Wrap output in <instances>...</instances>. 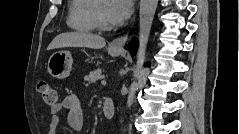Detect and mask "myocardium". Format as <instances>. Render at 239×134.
<instances>
[{
  "mask_svg": "<svg viewBox=\"0 0 239 134\" xmlns=\"http://www.w3.org/2000/svg\"><path fill=\"white\" fill-rule=\"evenodd\" d=\"M102 0H95L94 5H93V9H92V16H93V20L95 23V26L103 31H107V30H111L113 28V25H109L107 24L100 13V2Z\"/></svg>",
  "mask_w": 239,
  "mask_h": 134,
  "instance_id": "1",
  "label": "myocardium"
}]
</instances>
